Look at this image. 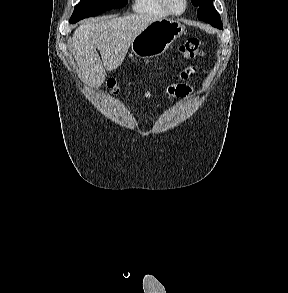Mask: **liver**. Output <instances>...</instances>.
I'll return each mask as SVG.
<instances>
[{"label":"liver","mask_w":288,"mask_h":293,"mask_svg":"<svg viewBox=\"0 0 288 293\" xmlns=\"http://www.w3.org/2000/svg\"><path fill=\"white\" fill-rule=\"evenodd\" d=\"M161 18L157 14H133L100 17L80 25L73 34L72 53L83 82L93 88L101 86L105 80V70L118 68L133 39L151 22Z\"/></svg>","instance_id":"6515ba94"}]
</instances>
